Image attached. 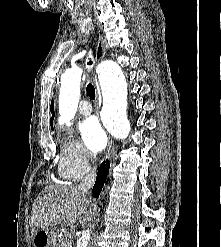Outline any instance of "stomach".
<instances>
[{"label":"stomach","mask_w":221,"mask_h":247,"mask_svg":"<svg viewBox=\"0 0 221 247\" xmlns=\"http://www.w3.org/2000/svg\"><path fill=\"white\" fill-rule=\"evenodd\" d=\"M53 239L50 230H39L32 238L33 247H51Z\"/></svg>","instance_id":"obj_1"}]
</instances>
